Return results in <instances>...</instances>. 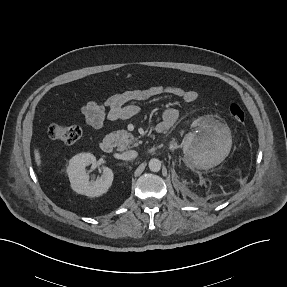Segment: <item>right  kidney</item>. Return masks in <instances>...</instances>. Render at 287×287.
Segmentation results:
<instances>
[{"instance_id":"obj_1","label":"right kidney","mask_w":287,"mask_h":287,"mask_svg":"<svg viewBox=\"0 0 287 287\" xmlns=\"http://www.w3.org/2000/svg\"><path fill=\"white\" fill-rule=\"evenodd\" d=\"M96 157L91 153H80L75 155L67 167L72 189L81 195L88 197H98L103 195L111 187L114 174L108 167L102 168V175L97 180H89L86 167L94 164Z\"/></svg>"}]
</instances>
